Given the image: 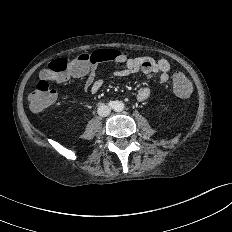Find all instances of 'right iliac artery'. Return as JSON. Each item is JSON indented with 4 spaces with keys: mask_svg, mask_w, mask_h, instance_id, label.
<instances>
[{
    "mask_svg": "<svg viewBox=\"0 0 232 232\" xmlns=\"http://www.w3.org/2000/svg\"><path fill=\"white\" fill-rule=\"evenodd\" d=\"M114 105H115L114 102L109 103V106H111V107H114Z\"/></svg>",
    "mask_w": 232,
    "mask_h": 232,
    "instance_id": "82829eb1",
    "label": "right iliac artery"
}]
</instances>
